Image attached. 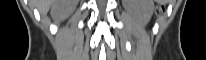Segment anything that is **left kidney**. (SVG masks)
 Masks as SVG:
<instances>
[{"mask_svg": "<svg viewBox=\"0 0 206 60\" xmlns=\"http://www.w3.org/2000/svg\"><path fill=\"white\" fill-rule=\"evenodd\" d=\"M125 7L132 12L142 24H147L153 13L152 0H124Z\"/></svg>", "mask_w": 206, "mask_h": 60, "instance_id": "left-kidney-1", "label": "left kidney"}]
</instances>
